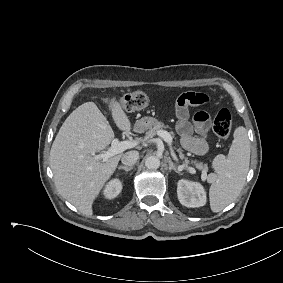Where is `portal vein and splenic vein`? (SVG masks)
<instances>
[{"mask_svg":"<svg viewBox=\"0 0 283 283\" xmlns=\"http://www.w3.org/2000/svg\"><path fill=\"white\" fill-rule=\"evenodd\" d=\"M158 135L169 145L172 158L174 160H177V156L174 153V150L172 147L173 140H172V136L170 135V133L164 130H160L158 132ZM136 145H138L137 141H121L120 142L118 141V139H114L111 143V147L107 151L101 154H98V155H94L93 157L95 159H101L103 161H107L110 157H113L119 153H122L123 151L127 149L133 148Z\"/></svg>","mask_w":283,"mask_h":283,"instance_id":"18ae733b","label":"portal vein and splenic vein"}]
</instances>
